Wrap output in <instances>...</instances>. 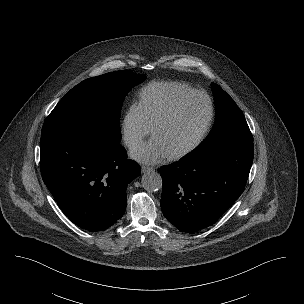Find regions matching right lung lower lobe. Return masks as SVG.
<instances>
[{"instance_id": "obj_1", "label": "right lung lower lobe", "mask_w": 304, "mask_h": 304, "mask_svg": "<svg viewBox=\"0 0 304 304\" xmlns=\"http://www.w3.org/2000/svg\"><path fill=\"white\" fill-rule=\"evenodd\" d=\"M41 174L64 214L88 231H103L125 212L127 185L141 173L120 144L69 130L41 137Z\"/></svg>"}]
</instances>
